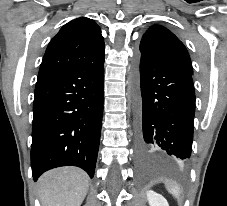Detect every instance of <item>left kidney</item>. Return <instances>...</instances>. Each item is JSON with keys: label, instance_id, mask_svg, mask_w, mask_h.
<instances>
[{"label": "left kidney", "instance_id": "obj_1", "mask_svg": "<svg viewBox=\"0 0 227 206\" xmlns=\"http://www.w3.org/2000/svg\"><path fill=\"white\" fill-rule=\"evenodd\" d=\"M147 199L150 206H169L167 200L154 191H147Z\"/></svg>", "mask_w": 227, "mask_h": 206}]
</instances>
